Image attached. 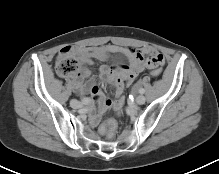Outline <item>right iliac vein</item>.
Wrapping results in <instances>:
<instances>
[{
  "mask_svg": "<svg viewBox=\"0 0 219 174\" xmlns=\"http://www.w3.org/2000/svg\"><path fill=\"white\" fill-rule=\"evenodd\" d=\"M70 105L74 109H78V108L82 107V104L79 101H77V100H71L70 101Z\"/></svg>",
  "mask_w": 219,
  "mask_h": 174,
  "instance_id": "right-iliac-vein-1",
  "label": "right iliac vein"
}]
</instances>
